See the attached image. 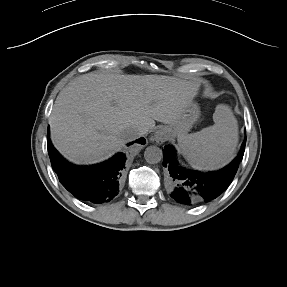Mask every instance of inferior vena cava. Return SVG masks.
<instances>
[{"label":"inferior vena cava","instance_id":"1","mask_svg":"<svg viewBox=\"0 0 287 287\" xmlns=\"http://www.w3.org/2000/svg\"><path fill=\"white\" fill-rule=\"evenodd\" d=\"M146 133L145 130L135 128V127H128L123 131V135L127 141L135 140Z\"/></svg>","mask_w":287,"mask_h":287}]
</instances>
